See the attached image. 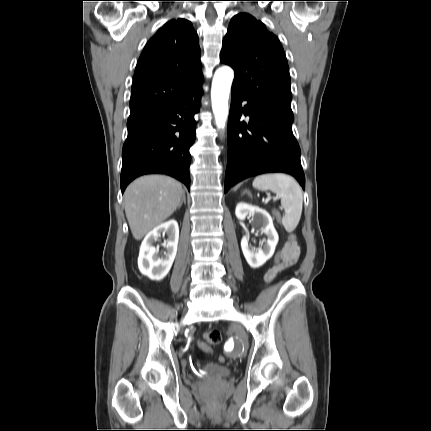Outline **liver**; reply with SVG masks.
Listing matches in <instances>:
<instances>
[{"instance_id": "obj_1", "label": "liver", "mask_w": 431, "mask_h": 431, "mask_svg": "<svg viewBox=\"0 0 431 431\" xmlns=\"http://www.w3.org/2000/svg\"><path fill=\"white\" fill-rule=\"evenodd\" d=\"M184 191L181 184L165 175H146L125 190V214L136 240L169 218L179 206Z\"/></svg>"}]
</instances>
